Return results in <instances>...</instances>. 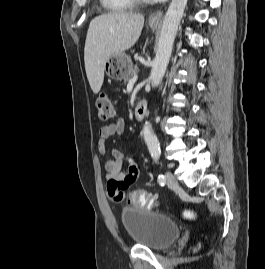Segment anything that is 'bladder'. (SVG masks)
Here are the masks:
<instances>
[{"label": "bladder", "mask_w": 265, "mask_h": 269, "mask_svg": "<svg viewBox=\"0 0 265 269\" xmlns=\"http://www.w3.org/2000/svg\"><path fill=\"white\" fill-rule=\"evenodd\" d=\"M119 215L134 244L155 251L170 247L181 232L179 224L171 218L146 209L124 207Z\"/></svg>", "instance_id": "31cf9c89"}]
</instances>
